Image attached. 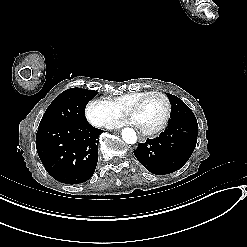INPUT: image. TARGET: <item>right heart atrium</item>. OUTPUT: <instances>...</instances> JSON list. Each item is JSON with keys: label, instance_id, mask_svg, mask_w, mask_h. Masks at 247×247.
Masks as SVG:
<instances>
[{"label": "right heart atrium", "instance_id": "d8ad5b80", "mask_svg": "<svg viewBox=\"0 0 247 247\" xmlns=\"http://www.w3.org/2000/svg\"><path fill=\"white\" fill-rule=\"evenodd\" d=\"M114 107L107 99L92 98L85 106V116L95 127H107L112 122Z\"/></svg>", "mask_w": 247, "mask_h": 247}]
</instances>
